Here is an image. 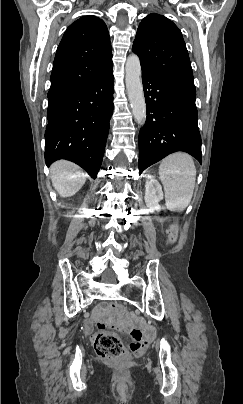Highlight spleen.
<instances>
[{
  "label": "spleen",
  "instance_id": "spleen-1",
  "mask_svg": "<svg viewBox=\"0 0 243 404\" xmlns=\"http://www.w3.org/2000/svg\"><path fill=\"white\" fill-rule=\"evenodd\" d=\"M159 176L165 192V202L170 212H183L189 206L196 180L195 164L184 152H176L162 160Z\"/></svg>",
  "mask_w": 243,
  "mask_h": 404
}]
</instances>
